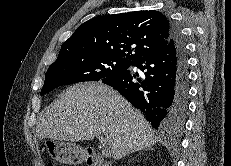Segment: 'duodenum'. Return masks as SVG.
<instances>
[{
    "instance_id": "obj_1",
    "label": "duodenum",
    "mask_w": 231,
    "mask_h": 166,
    "mask_svg": "<svg viewBox=\"0 0 231 166\" xmlns=\"http://www.w3.org/2000/svg\"><path fill=\"white\" fill-rule=\"evenodd\" d=\"M84 163L86 166H109L99 153L91 150L85 153Z\"/></svg>"
}]
</instances>
